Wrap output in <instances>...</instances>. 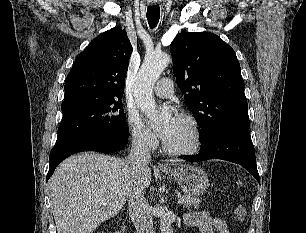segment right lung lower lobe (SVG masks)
<instances>
[{
    "label": "right lung lower lobe",
    "instance_id": "obj_1",
    "mask_svg": "<svg viewBox=\"0 0 306 233\" xmlns=\"http://www.w3.org/2000/svg\"><path fill=\"white\" fill-rule=\"evenodd\" d=\"M127 141L128 136L85 134L71 138L60 144H55L50 152V166L46 180L51 177L61 161L74 153L83 151L113 153L123 149Z\"/></svg>",
    "mask_w": 306,
    "mask_h": 233
}]
</instances>
